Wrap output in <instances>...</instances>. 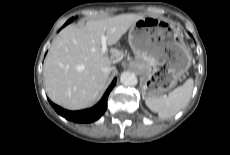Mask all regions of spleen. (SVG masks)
<instances>
[{"mask_svg":"<svg viewBox=\"0 0 230 155\" xmlns=\"http://www.w3.org/2000/svg\"><path fill=\"white\" fill-rule=\"evenodd\" d=\"M193 85V79L189 78L182 86L170 91L168 95L148 97L145 103L151 111L158 113L160 118L166 119L172 117L189 103Z\"/></svg>","mask_w":230,"mask_h":155,"instance_id":"3e777b00","label":"spleen"}]
</instances>
